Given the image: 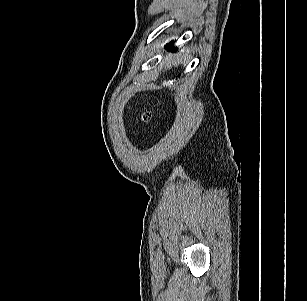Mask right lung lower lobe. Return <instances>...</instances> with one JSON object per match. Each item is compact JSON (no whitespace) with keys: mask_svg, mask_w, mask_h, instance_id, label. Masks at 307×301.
I'll return each instance as SVG.
<instances>
[{"mask_svg":"<svg viewBox=\"0 0 307 301\" xmlns=\"http://www.w3.org/2000/svg\"><path fill=\"white\" fill-rule=\"evenodd\" d=\"M169 47H170L171 49H173V51L176 50V49L174 48V43H173V42L169 43Z\"/></svg>","mask_w":307,"mask_h":301,"instance_id":"98d812e1","label":"right lung lower lobe"}]
</instances>
